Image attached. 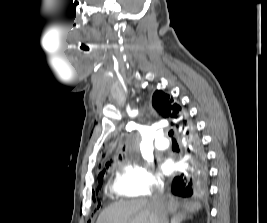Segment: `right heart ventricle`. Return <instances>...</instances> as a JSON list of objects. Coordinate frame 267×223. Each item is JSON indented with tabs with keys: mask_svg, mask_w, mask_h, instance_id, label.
Wrapping results in <instances>:
<instances>
[{
	"mask_svg": "<svg viewBox=\"0 0 267 223\" xmlns=\"http://www.w3.org/2000/svg\"><path fill=\"white\" fill-rule=\"evenodd\" d=\"M107 195L108 196H122L125 195L124 193H122L118 187L116 186L115 182L109 186L108 190H107Z\"/></svg>",
	"mask_w": 267,
	"mask_h": 223,
	"instance_id": "1",
	"label": "right heart ventricle"
}]
</instances>
